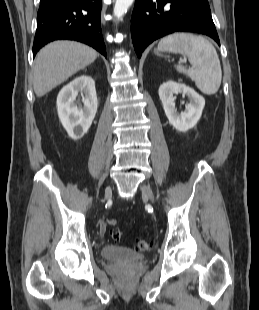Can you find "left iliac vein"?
Instances as JSON below:
<instances>
[{
  "label": "left iliac vein",
  "instance_id": "1",
  "mask_svg": "<svg viewBox=\"0 0 259 310\" xmlns=\"http://www.w3.org/2000/svg\"><path fill=\"white\" fill-rule=\"evenodd\" d=\"M141 191L143 196L147 197L151 201V203L155 202L154 194L148 185L146 184L142 185Z\"/></svg>",
  "mask_w": 259,
  "mask_h": 310
}]
</instances>
